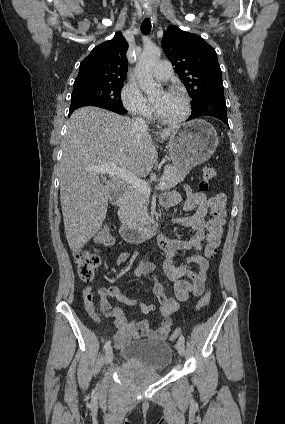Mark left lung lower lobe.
Wrapping results in <instances>:
<instances>
[{
    "label": "left lung lower lobe",
    "mask_w": 285,
    "mask_h": 424,
    "mask_svg": "<svg viewBox=\"0 0 285 424\" xmlns=\"http://www.w3.org/2000/svg\"><path fill=\"white\" fill-rule=\"evenodd\" d=\"M201 116H212L223 121L227 126V108L223 92H217L205 96L192 107V115L188 120Z\"/></svg>",
    "instance_id": "1"
}]
</instances>
